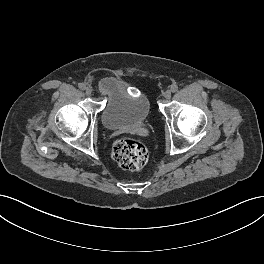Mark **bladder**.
<instances>
[{
  "mask_svg": "<svg viewBox=\"0 0 264 264\" xmlns=\"http://www.w3.org/2000/svg\"><path fill=\"white\" fill-rule=\"evenodd\" d=\"M101 90L105 96L101 120L106 128H134L149 117L151 102L141 87L122 80L108 79L101 83Z\"/></svg>",
  "mask_w": 264,
  "mask_h": 264,
  "instance_id": "bladder-1",
  "label": "bladder"
}]
</instances>
